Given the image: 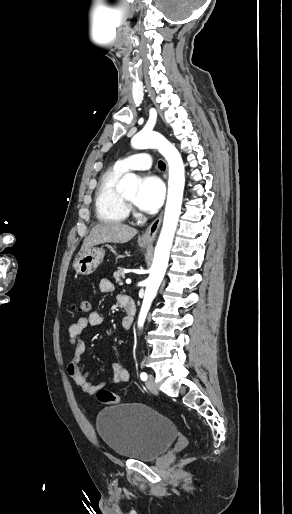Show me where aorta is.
Returning <instances> with one entry per match:
<instances>
[{
	"instance_id": "1",
	"label": "aorta",
	"mask_w": 292,
	"mask_h": 514,
	"mask_svg": "<svg viewBox=\"0 0 292 514\" xmlns=\"http://www.w3.org/2000/svg\"><path fill=\"white\" fill-rule=\"evenodd\" d=\"M132 146L136 148V150L156 148V150L164 156L165 160H167L169 166L168 196L163 226L155 248L151 274L149 278H147L144 300L139 314L138 326L142 328L147 312L167 270L170 250L181 214L185 186V170L178 150H176L175 146L170 144L164 136L158 134V132L142 130V132H139V134H136V136L132 138ZM121 186L136 190L138 180L135 174H127L125 178H122Z\"/></svg>"
}]
</instances>
